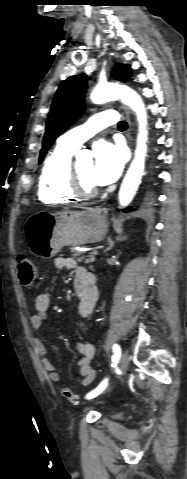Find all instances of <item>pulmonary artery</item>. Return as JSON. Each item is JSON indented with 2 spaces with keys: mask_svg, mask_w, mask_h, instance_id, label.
<instances>
[{
  "mask_svg": "<svg viewBox=\"0 0 187 479\" xmlns=\"http://www.w3.org/2000/svg\"><path fill=\"white\" fill-rule=\"evenodd\" d=\"M118 121L115 110H106L93 115L85 124L73 128L63 134L58 141L73 149H78L83 142L92 137L101 129L113 125Z\"/></svg>",
  "mask_w": 187,
  "mask_h": 479,
  "instance_id": "pulmonary-artery-1",
  "label": "pulmonary artery"
}]
</instances>
